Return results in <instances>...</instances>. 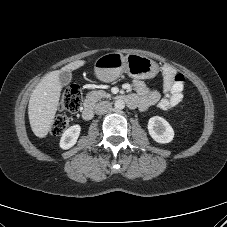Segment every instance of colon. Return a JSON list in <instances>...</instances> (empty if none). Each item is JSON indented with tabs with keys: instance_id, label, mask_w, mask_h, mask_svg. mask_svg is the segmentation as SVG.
<instances>
[{
	"instance_id": "colon-1",
	"label": "colon",
	"mask_w": 227,
	"mask_h": 227,
	"mask_svg": "<svg viewBox=\"0 0 227 227\" xmlns=\"http://www.w3.org/2000/svg\"><path fill=\"white\" fill-rule=\"evenodd\" d=\"M82 104V91L78 85H71L62 95L60 101V110L63 112L58 114L51 126V132L59 135L65 131L69 124V117L66 113L75 114L80 110Z\"/></svg>"
}]
</instances>
